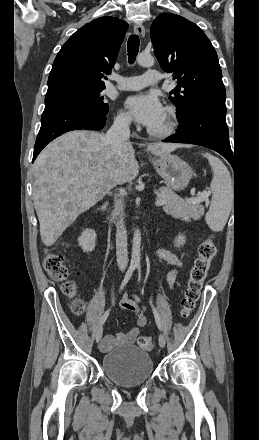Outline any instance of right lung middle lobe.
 <instances>
[{
	"instance_id": "dd1d6c3e",
	"label": "right lung middle lobe",
	"mask_w": 259,
	"mask_h": 440,
	"mask_svg": "<svg viewBox=\"0 0 259 440\" xmlns=\"http://www.w3.org/2000/svg\"><path fill=\"white\" fill-rule=\"evenodd\" d=\"M105 88H69L46 94L45 108L62 105H80L92 108L99 112L108 113V104L100 93Z\"/></svg>"
}]
</instances>
